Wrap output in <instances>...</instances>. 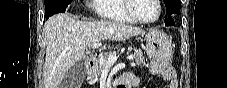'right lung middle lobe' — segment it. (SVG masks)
I'll list each match as a JSON object with an SVG mask.
<instances>
[{
    "label": "right lung middle lobe",
    "instance_id": "1",
    "mask_svg": "<svg viewBox=\"0 0 227 88\" xmlns=\"http://www.w3.org/2000/svg\"><path fill=\"white\" fill-rule=\"evenodd\" d=\"M71 1L72 0H44L46 19L56 13L64 12Z\"/></svg>",
    "mask_w": 227,
    "mask_h": 88
}]
</instances>
